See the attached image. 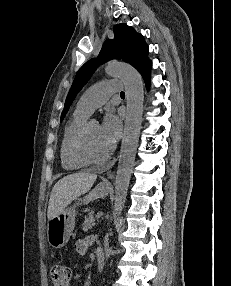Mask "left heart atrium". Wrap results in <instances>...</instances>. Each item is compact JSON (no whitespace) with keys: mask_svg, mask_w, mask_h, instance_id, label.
Wrapping results in <instances>:
<instances>
[{"mask_svg":"<svg viewBox=\"0 0 231 286\" xmlns=\"http://www.w3.org/2000/svg\"><path fill=\"white\" fill-rule=\"evenodd\" d=\"M100 129L106 140L113 145L121 135V122L115 114H108L104 118Z\"/></svg>","mask_w":231,"mask_h":286,"instance_id":"obj_1","label":"left heart atrium"}]
</instances>
